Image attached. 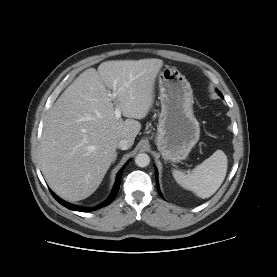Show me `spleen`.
Returning <instances> with one entry per match:
<instances>
[{
  "label": "spleen",
  "mask_w": 277,
  "mask_h": 277,
  "mask_svg": "<svg viewBox=\"0 0 277 277\" xmlns=\"http://www.w3.org/2000/svg\"><path fill=\"white\" fill-rule=\"evenodd\" d=\"M228 160L222 150L215 151L209 158L197 165L192 173L185 174L173 170L175 181L196 196L205 199L211 197L223 183L227 173Z\"/></svg>",
  "instance_id": "obj_1"
}]
</instances>
